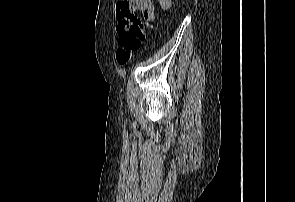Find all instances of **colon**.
<instances>
[{
	"instance_id": "obj_1",
	"label": "colon",
	"mask_w": 295,
	"mask_h": 202,
	"mask_svg": "<svg viewBox=\"0 0 295 202\" xmlns=\"http://www.w3.org/2000/svg\"><path fill=\"white\" fill-rule=\"evenodd\" d=\"M149 27L148 22L131 23L120 33L118 39L120 48L116 53V60L120 65L127 64L131 59L132 52L140 48L145 30Z\"/></svg>"
}]
</instances>
